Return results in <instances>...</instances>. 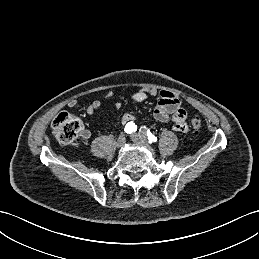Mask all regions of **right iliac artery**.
<instances>
[{
    "mask_svg": "<svg viewBox=\"0 0 259 259\" xmlns=\"http://www.w3.org/2000/svg\"><path fill=\"white\" fill-rule=\"evenodd\" d=\"M136 130H137V126L135 125L134 122L127 123L126 126H125V129H124V131L127 134H131V133L135 132Z\"/></svg>",
    "mask_w": 259,
    "mask_h": 259,
    "instance_id": "82829eb1",
    "label": "right iliac artery"
}]
</instances>
